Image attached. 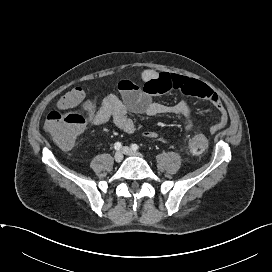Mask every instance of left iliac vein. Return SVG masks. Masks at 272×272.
I'll list each match as a JSON object with an SVG mask.
<instances>
[{
  "instance_id": "4c4485c4",
  "label": "left iliac vein",
  "mask_w": 272,
  "mask_h": 272,
  "mask_svg": "<svg viewBox=\"0 0 272 272\" xmlns=\"http://www.w3.org/2000/svg\"><path fill=\"white\" fill-rule=\"evenodd\" d=\"M122 152L125 154V155H128V156H137V157H143L142 154H140L139 152L125 146L123 147L122 149Z\"/></svg>"
}]
</instances>
